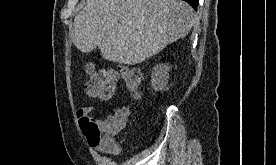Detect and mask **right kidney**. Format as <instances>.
<instances>
[{
    "mask_svg": "<svg viewBox=\"0 0 276 165\" xmlns=\"http://www.w3.org/2000/svg\"><path fill=\"white\" fill-rule=\"evenodd\" d=\"M170 66L157 65L151 76V85L156 91H162L166 88L169 79Z\"/></svg>",
    "mask_w": 276,
    "mask_h": 165,
    "instance_id": "1",
    "label": "right kidney"
}]
</instances>
